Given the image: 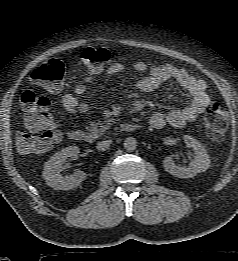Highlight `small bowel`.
<instances>
[{"mask_svg":"<svg viewBox=\"0 0 238 261\" xmlns=\"http://www.w3.org/2000/svg\"><path fill=\"white\" fill-rule=\"evenodd\" d=\"M136 72L149 71L148 75L137 82V87L143 92H150L157 89L162 83L168 80H175L186 90L190 99L189 104L181 109H174L167 112H155L150 118V125L155 129L165 126L180 128L189 122L194 121L203 113L210 104V97L203 80L197 79L185 69L177 68L170 64L148 65L142 61L133 64ZM125 70V65L119 61H112L107 69L108 75H115ZM94 80L93 75L84 77L74 88V92L67 93L62 98L63 109L70 114L83 115L89 111V105L79 98L87 86Z\"/></svg>","mask_w":238,"mask_h":261,"instance_id":"c3829d8e","label":"small bowel"}]
</instances>
